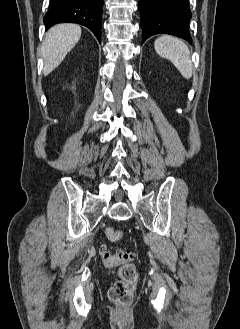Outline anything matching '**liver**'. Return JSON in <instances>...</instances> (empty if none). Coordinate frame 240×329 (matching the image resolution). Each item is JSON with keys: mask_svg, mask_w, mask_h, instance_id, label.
<instances>
[{"mask_svg": "<svg viewBox=\"0 0 240 329\" xmlns=\"http://www.w3.org/2000/svg\"><path fill=\"white\" fill-rule=\"evenodd\" d=\"M81 37V28L75 24H59L52 27L42 43L41 53L44 60L43 74L49 75L66 55L78 43Z\"/></svg>", "mask_w": 240, "mask_h": 329, "instance_id": "6515ba94", "label": "liver"}]
</instances>
